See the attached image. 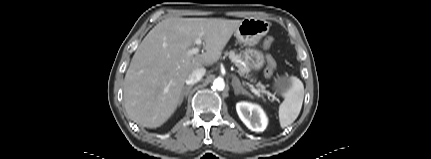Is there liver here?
Segmentation results:
<instances>
[{"label":"liver","mask_w":431,"mask_h":159,"mask_svg":"<svg viewBox=\"0 0 431 159\" xmlns=\"http://www.w3.org/2000/svg\"><path fill=\"white\" fill-rule=\"evenodd\" d=\"M241 20L168 18L138 46L124 79L127 114L137 124L157 128L179 105L189 74L217 62ZM201 37L205 52L188 55Z\"/></svg>","instance_id":"liver-1"}]
</instances>
